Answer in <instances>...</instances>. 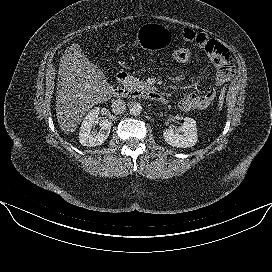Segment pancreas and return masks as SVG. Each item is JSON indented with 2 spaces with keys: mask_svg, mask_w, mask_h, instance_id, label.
Listing matches in <instances>:
<instances>
[{
  "mask_svg": "<svg viewBox=\"0 0 272 272\" xmlns=\"http://www.w3.org/2000/svg\"><path fill=\"white\" fill-rule=\"evenodd\" d=\"M144 83L139 81L137 78H132V89H136L139 86L143 85Z\"/></svg>",
  "mask_w": 272,
  "mask_h": 272,
  "instance_id": "obj_1",
  "label": "pancreas"
}]
</instances>
